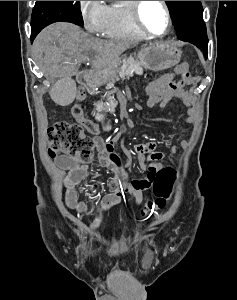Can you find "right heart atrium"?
<instances>
[{
  "label": "right heart atrium",
  "instance_id": "d8ad5b80",
  "mask_svg": "<svg viewBox=\"0 0 237 300\" xmlns=\"http://www.w3.org/2000/svg\"><path fill=\"white\" fill-rule=\"evenodd\" d=\"M79 11L89 32L100 34L105 31L108 6L103 1H79Z\"/></svg>",
  "mask_w": 237,
  "mask_h": 300
}]
</instances>
